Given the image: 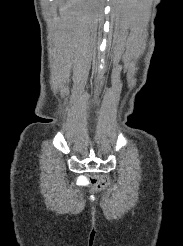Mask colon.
I'll return each instance as SVG.
<instances>
[{
  "label": "colon",
  "mask_w": 183,
  "mask_h": 246,
  "mask_svg": "<svg viewBox=\"0 0 183 246\" xmlns=\"http://www.w3.org/2000/svg\"><path fill=\"white\" fill-rule=\"evenodd\" d=\"M87 182H93L97 190L103 189L107 185V180L104 177H95L94 174H85Z\"/></svg>",
  "instance_id": "5ec220e1"
}]
</instances>
